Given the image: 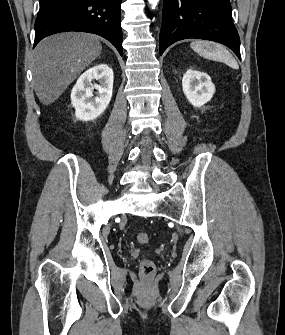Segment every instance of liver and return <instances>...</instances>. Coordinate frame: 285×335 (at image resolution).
<instances>
[{
	"label": "liver",
	"instance_id": "obj_1",
	"mask_svg": "<svg viewBox=\"0 0 285 335\" xmlns=\"http://www.w3.org/2000/svg\"><path fill=\"white\" fill-rule=\"evenodd\" d=\"M102 46L98 36L64 32L42 40L32 60L33 88L41 104L49 106L67 90L77 76L98 56Z\"/></svg>",
	"mask_w": 285,
	"mask_h": 335
}]
</instances>
